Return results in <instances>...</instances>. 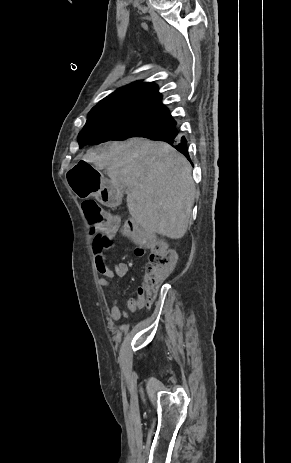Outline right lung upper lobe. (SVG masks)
<instances>
[{"label": "right lung upper lobe", "instance_id": "obj_1", "mask_svg": "<svg viewBox=\"0 0 291 463\" xmlns=\"http://www.w3.org/2000/svg\"><path fill=\"white\" fill-rule=\"evenodd\" d=\"M158 86L152 82L137 81L119 88L102 99L93 110L109 113L145 115L169 120V110L161 102Z\"/></svg>", "mask_w": 291, "mask_h": 463}]
</instances>
